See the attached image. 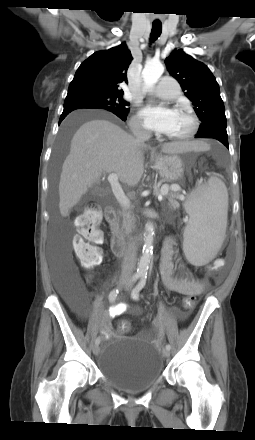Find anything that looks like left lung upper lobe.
Segmentation results:
<instances>
[{
	"label": "left lung upper lobe",
	"mask_w": 255,
	"mask_h": 440,
	"mask_svg": "<svg viewBox=\"0 0 255 440\" xmlns=\"http://www.w3.org/2000/svg\"><path fill=\"white\" fill-rule=\"evenodd\" d=\"M170 74L180 83L185 95L192 101L201 120L198 136L228 137L226 116L219 85L209 68L182 49L174 50L165 59Z\"/></svg>",
	"instance_id": "obj_1"
}]
</instances>
